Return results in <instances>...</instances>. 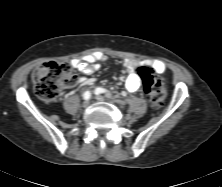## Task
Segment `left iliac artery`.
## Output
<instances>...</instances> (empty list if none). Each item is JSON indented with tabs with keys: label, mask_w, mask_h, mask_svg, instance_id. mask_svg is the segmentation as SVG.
I'll list each match as a JSON object with an SVG mask.
<instances>
[{
	"label": "left iliac artery",
	"mask_w": 222,
	"mask_h": 187,
	"mask_svg": "<svg viewBox=\"0 0 222 187\" xmlns=\"http://www.w3.org/2000/svg\"><path fill=\"white\" fill-rule=\"evenodd\" d=\"M100 93H107V96L110 97V93H108L107 90L104 88H97L95 90V94H100Z\"/></svg>",
	"instance_id": "left-iliac-artery-1"
}]
</instances>
